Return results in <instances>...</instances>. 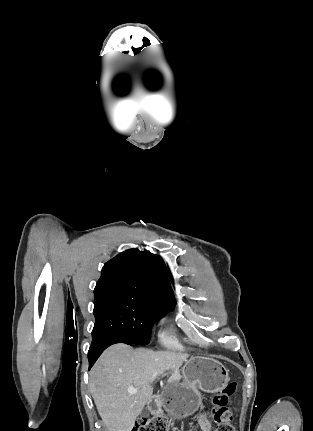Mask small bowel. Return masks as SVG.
<instances>
[{
	"label": "small bowel",
	"instance_id": "c3829d8e",
	"mask_svg": "<svg viewBox=\"0 0 313 431\" xmlns=\"http://www.w3.org/2000/svg\"><path fill=\"white\" fill-rule=\"evenodd\" d=\"M199 424L203 431H211L210 421L207 419L206 415L202 413L199 417Z\"/></svg>",
	"mask_w": 313,
	"mask_h": 431
}]
</instances>
